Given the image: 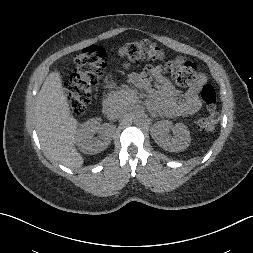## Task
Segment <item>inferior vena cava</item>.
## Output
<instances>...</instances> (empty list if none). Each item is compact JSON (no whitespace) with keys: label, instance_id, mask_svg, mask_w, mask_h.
I'll return each instance as SVG.
<instances>
[{"label":"inferior vena cava","instance_id":"602c4592","mask_svg":"<svg viewBox=\"0 0 253 253\" xmlns=\"http://www.w3.org/2000/svg\"><path fill=\"white\" fill-rule=\"evenodd\" d=\"M127 99L130 102L129 98ZM126 108L124 106L123 102H113L110 104L109 108L107 109V118L109 120H115V119H120L126 114Z\"/></svg>","mask_w":253,"mask_h":253}]
</instances>
